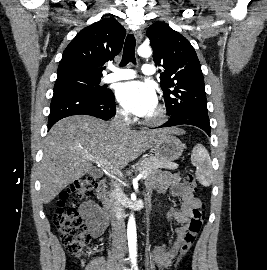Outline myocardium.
Returning <instances> with one entry per match:
<instances>
[{
  "mask_svg": "<svg viewBox=\"0 0 267 270\" xmlns=\"http://www.w3.org/2000/svg\"><path fill=\"white\" fill-rule=\"evenodd\" d=\"M167 119V111L164 106L160 105L157 109L153 112L152 115L148 116L144 123L149 126H159L163 124Z\"/></svg>",
  "mask_w": 267,
  "mask_h": 270,
  "instance_id": "f54148a6",
  "label": "myocardium"
}]
</instances>
